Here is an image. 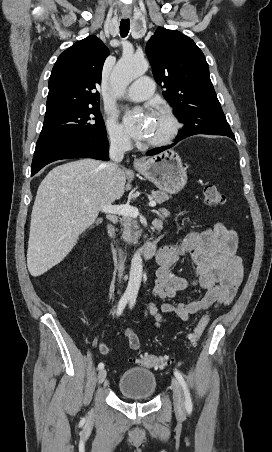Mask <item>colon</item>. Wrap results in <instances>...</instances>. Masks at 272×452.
Segmentation results:
<instances>
[{
	"label": "colon",
	"instance_id": "colon-1",
	"mask_svg": "<svg viewBox=\"0 0 272 452\" xmlns=\"http://www.w3.org/2000/svg\"><path fill=\"white\" fill-rule=\"evenodd\" d=\"M205 204L209 207H219L225 204L226 196L215 185L207 184L203 190ZM208 323V317L202 316L194 329L188 334V340L191 345H196L201 338ZM101 350V348H100ZM131 362L136 365L151 368H160L170 364L171 360L168 356L160 355H143L132 358Z\"/></svg>",
	"mask_w": 272,
	"mask_h": 452
}]
</instances>
